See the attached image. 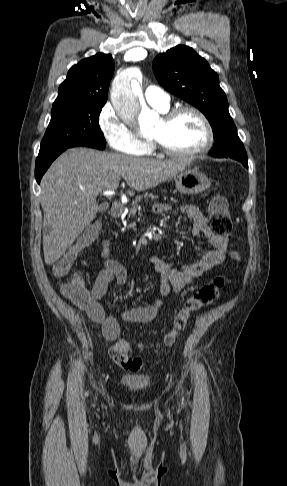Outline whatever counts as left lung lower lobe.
<instances>
[{"label": "left lung lower lobe", "mask_w": 287, "mask_h": 486, "mask_svg": "<svg viewBox=\"0 0 287 486\" xmlns=\"http://www.w3.org/2000/svg\"><path fill=\"white\" fill-rule=\"evenodd\" d=\"M240 161L246 168H248V159L247 158H242V159H236Z\"/></svg>", "instance_id": "obj_1"}]
</instances>
